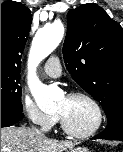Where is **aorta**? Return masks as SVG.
I'll return each instance as SVG.
<instances>
[{"mask_svg": "<svg viewBox=\"0 0 123 152\" xmlns=\"http://www.w3.org/2000/svg\"><path fill=\"white\" fill-rule=\"evenodd\" d=\"M64 35V25L60 21L41 28L32 43L29 54V87L39 109L43 112L56 109L58 96L55 90L42 84L34 75V69L59 45Z\"/></svg>", "mask_w": 123, "mask_h": 152, "instance_id": "aorta-1", "label": "aorta"}]
</instances>
